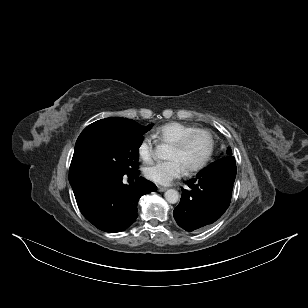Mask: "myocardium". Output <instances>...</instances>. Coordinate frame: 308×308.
Instances as JSON below:
<instances>
[{
	"instance_id": "f54148a6",
	"label": "myocardium",
	"mask_w": 308,
	"mask_h": 308,
	"mask_svg": "<svg viewBox=\"0 0 308 308\" xmlns=\"http://www.w3.org/2000/svg\"><path fill=\"white\" fill-rule=\"evenodd\" d=\"M198 134H205L208 137L209 148L204 158L198 164L186 169L187 173L198 172L202 170L203 168H205L211 161L214 151H215V137L213 133L210 130L205 129V128H197L193 131L188 132L183 137H181L178 141L171 144V147H174L176 149H183L190 142V140Z\"/></svg>"
}]
</instances>
